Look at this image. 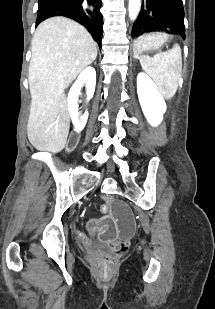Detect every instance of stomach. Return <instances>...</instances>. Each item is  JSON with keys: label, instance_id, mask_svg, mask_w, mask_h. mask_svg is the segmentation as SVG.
<instances>
[{"label": "stomach", "instance_id": "stomach-1", "mask_svg": "<svg viewBox=\"0 0 215 309\" xmlns=\"http://www.w3.org/2000/svg\"><path fill=\"white\" fill-rule=\"evenodd\" d=\"M172 42V36L164 32H152L139 36L134 40L133 53L139 57L144 53L160 50ZM174 48H178L174 46Z\"/></svg>", "mask_w": 215, "mask_h": 309}]
</instances>
